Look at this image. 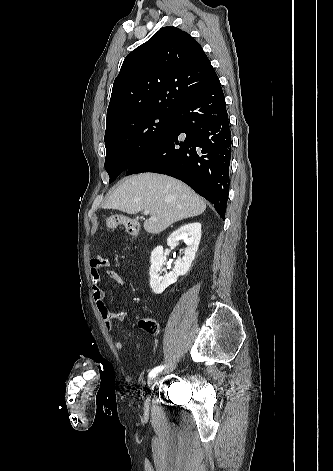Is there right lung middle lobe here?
<instances>
[{
	"label": "right lung middle lobe",
	"mask_w": 333,
	"mask_h": 471,
	"mask_svg": "<svg viewBox=\"0 0 333 471\" xmlns=\"http://www.w3.org/2000/svg\"><path fill=\"white\" fill-rule=\"evenodd\" d=\"M175 112L149 110L116 120L106 128L105 169L112 183L174 123Z\"/></svg>",
	"instance_id": "1"
}]
</instances>
